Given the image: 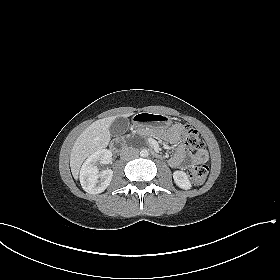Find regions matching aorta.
<instances>
[{
    "label": "aorta",
    "instance_id": "obj_1",
    "mask_svg": "<svg viewBox=\"0 0 280 280\" xmlns=\"http://www.w3.org/2000/svg\"><path fill=\"white\" fill-rule=\"evenodd\" d=\"M148 155H149V152H148L147 149H142V150L140 151V156H141V157H147Z\"/></svg>",
    "mask_w": 280,
    "mask_h": 280
}]
</instances>
